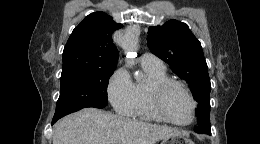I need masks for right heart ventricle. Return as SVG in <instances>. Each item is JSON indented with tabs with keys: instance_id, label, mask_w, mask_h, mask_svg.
Returning <instances> with one entry per match:
<instances>
[{
	"instance_id": "obj_1",
	"label": "right heart ventricle",
	"mask_w": 260,
	"mask_h": 144,
	"mask_svg": "<svg viewBox=\"0 0 260 144\" xmlns=\"http://www.w3.org/2000/svg\"><path fill=\"white\" fill-rule=\"evenodd\" d=\"M146 73L145 81L133 83V100L126 113L127 116L148 121H160L149 104V91L151 86L160 81L168 80L165 69H156L142 64Z\"/></svg>"
}]
</instances>
